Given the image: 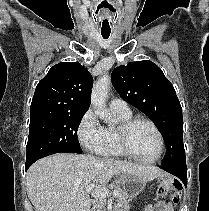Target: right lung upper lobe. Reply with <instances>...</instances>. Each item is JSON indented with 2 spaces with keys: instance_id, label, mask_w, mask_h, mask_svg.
I'll use <instances>...</instances> for the list:
<instances>
[{
  "instance_id": "obj_1",
  "label": "right lung upper lobe",
  "mask_w": 209,
  "mask_h": 211,
  "mask_svg": "<svg viewBox=\"0 0 209 211\" xmlns=\"http://www.w3.org/2000/svg\"><path fill=\"white\" fill-rule=\"evenodd\" d=\"M93 78L78 62L54 65L38 83L31 103V116L80 114L90 106Z\"/></svg>"
}]
</instances>
